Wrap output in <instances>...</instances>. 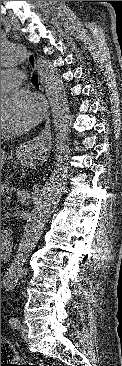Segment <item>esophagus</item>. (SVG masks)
I'll list each match as a JSON object with an SVG mask.
<instances>
[{"label":"esophagus","mask_w":122,"mask_h":366,"mask_svg":"<svg viewBox=\"0 0 122 366\" xmlns=\"http://www.w3.org/2000/svg\"><path fill=\"white\" fill-rule=\"evenodd\" d=\"M28 62L31 64V66L35 67V57L31 53L28 56ZM42 82H43V79L40 76V83L42 84ZM49 115H50V113L47 112L46 113V116H45V119H46V127L42 130V132L40 134V140L38 141V144L36 146H29V147L25 148L23 150L25 154H27L30 151L35 150L38 147L44 148L50 142L49 137L51 135V132H50V119H49Z\"/></svg>","instance_id":"1"}]
</instances>
